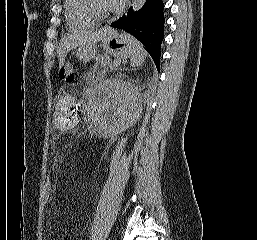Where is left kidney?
Wrapping results in <instances>:
<instances>
[{
    "mask_svg": "<svg viewBox=\"0 0 257 240\" xmlns=\"http://www.w3.org/2000/svg\"><path fill=\"white\" fill-rule=\"evenodd\" d=\"M94 106L97 122L110 133L127 129L141 113L134 87L119 79H106L98 85Z\"/></svg>",
    "mask_w": 257,
    "mask_h": 240,
    "instance_id": "obj_1",
    "label": "left kidney"
}]
</instances>
